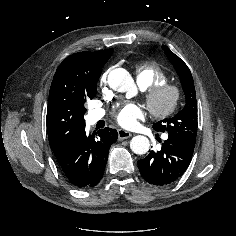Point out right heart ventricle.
I'll return each mask as SVG.
<instances>
[{
  "label": "right heart ventricle",
  "mask_w": 236,
  "mask_h": 236,
  "mask_svg": "<svg viewBox=\"0 0 236 236\" xmlns=\"http://www.w3.org/2000/svg\"><path fill=\"white\" fill-rule=\"evenodd\" d=\"M137 83L142 89L164 83L167 80L165 72L156 62L143 63L136 68Z\"/></svg>",
  "instance_id": "e07e8e85"
}]
</instances>
